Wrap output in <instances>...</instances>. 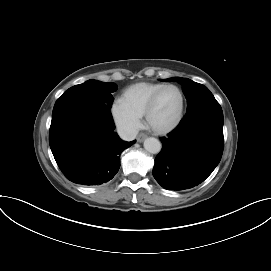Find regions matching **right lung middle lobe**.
Instances as JSON below:
<instances>
[{"mask_svg": "<svg viewBox=\"0 0 271 271\" xmlns=\"http://www.w3.org/2000/svg\"><path fill=\"white\" fill-rule=\"evenodd\" d=\"M116 90L117 86L114 83L89 80L66 90L63 95L57 99L54 109L83 102H104L111 107L113 102L112 93Z\"/></svg>", "mask_w": 271, "mask_h": 271, "instance_id": "dd1d6c3e", "label": "right lung middle lobe"}]
</instances>
